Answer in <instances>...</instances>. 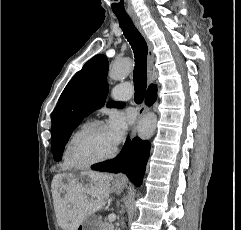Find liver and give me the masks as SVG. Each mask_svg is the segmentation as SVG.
<instances>
[{"instance_id":"6515ba94","label":"liver","mask_w":241,"mask_h":230,"mask_svg":"<svg viewBox=\"0 0 241 230\" xmlns=\"http://www.w3.org/2000/svg\"><path fill=\"white\" fill-rule=\"evenodd\" d=\"M81 174L88 175L91 181L81 184L71 174H57L52 180L53 202L63 230H76L88 216L105 206L110 194L112 175L94 171Z\"/></svg>"}]
</instances>
